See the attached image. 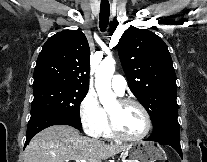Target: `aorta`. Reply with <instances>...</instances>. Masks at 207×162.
I'll list each match as a JSON object with an SVG mask.
<instances>
[{"label": "aorta", "mask_w": 207, "mask_h": 162, "mask_svg": "<svg viewBox=\"0 0 207 162\" xmlns=\"http://www.w3.org/2000/svg\"><path fill=\"white\" fill-rule=\"evenodd\" d=\"M115 71V60L106 57L96 71L95 87L100 103L106 107L116 101L115 94L111 89V79Z\"/></svg>", "instance_id": "762f6f07"}]
</instances>
